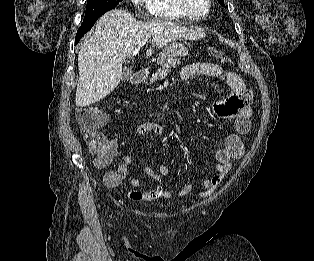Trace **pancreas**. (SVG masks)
<instances>
[{
    "label": "pancreas",
    "mask_w": 314,
    "mask_h": 261,
    "mask_svg": "<svg viewBox=\"0 0 314 261\" xmlns=\"http://www.w3.org/2000/svg\"><path fill=\"white\" fill-rule=\"evenodd\" d=\"M176 64H179L177 59L173 57H168L164 61H162L161 68L155 74H152L150 78V83H155L158 79H162L172 67H175Z\"/></svg>",
    "instance_id": "pancreas-1"
}]
</instances>
